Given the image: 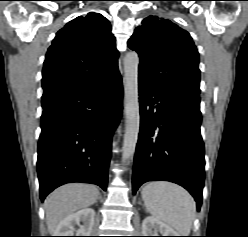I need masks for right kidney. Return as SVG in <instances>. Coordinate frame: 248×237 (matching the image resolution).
Here are the masks:
<instances>
[{
    "label": "right kidney",
    "mask_w": 248,
    "mask_h": 237,
    "mask_svg": "<svg viewBox=\"0 0 248 237\" xmlns=\"http://www.w3.org/2000/svg\"><path fill=\"white\" fill-rule=\"evenodd\" d=\"M95 211L84 208L64 218L55 230V236H90L94 225ZM75 226H79L75 230Z\"/></svg>",
    "instance_id": "1"
}]
</instances>
